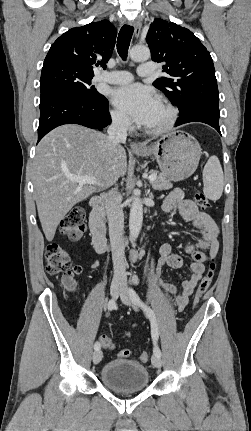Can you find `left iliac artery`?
Masks as SVG:
<instances>
[{"instance_id":"1","label":"left iliac artery","mask_w":251,"mask_h":431,"mask_svg":"<svg viewBox=\"0 0 251 431\" xmlns=\"http://www.w3.org/2000/svg\"><path fill=\"white\" fill-rule=\"evenodd\" d=\"M130 295H131L133 303L135 305H137L138 307H140L145 312L147 317L149 318L150 323H151V336H152V340L154 343L153 352H154V354L161 356V350L157 345L159 333H158L157 319H156L154 311L140 299L138 294L132 288L130 289Z\"/></svg>"}]
</instances>
